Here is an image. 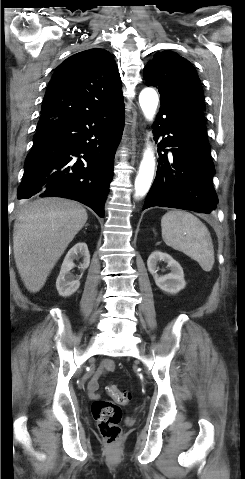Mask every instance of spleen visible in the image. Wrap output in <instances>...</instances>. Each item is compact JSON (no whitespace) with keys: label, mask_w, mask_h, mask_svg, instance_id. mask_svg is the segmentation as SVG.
<instances>
[{"label":"spleen","mask_w":245,"mask_h":479,"mask_svg":"<svg viewBox=\"0 0 245 479\" xmlns=\"http://www.w3.org/2000/svg\"><path fill=\"white\" fill-rule=\"evenodd\" d=\"M162 238L167 246L183 252L209 272L214 265V248L210 232L193 214L172 210L161 219Z\"/></svg>","instance_id":"1"}]
</instances>
